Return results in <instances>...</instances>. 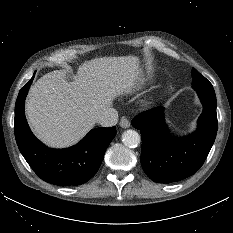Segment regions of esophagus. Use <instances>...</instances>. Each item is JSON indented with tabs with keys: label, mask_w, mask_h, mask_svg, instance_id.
Wrapping results in <instances>:
<instances>
[{
	"label": "esophagus",
	"mask_w": 233,
	"mask_h": 233,
	"mask_svg": "<svg viewBox=\"0 0 233 233\" xmlns=\"http://www.w3.org/2000/svg\"><path fill=\"white\" fill-rule=\"evenodd\" d=\"M119 125L122 128H129L131 124H130V121L127 118H122Z\"/></svg>",
	"instance_id": "obj_1"
}]
</instances>
